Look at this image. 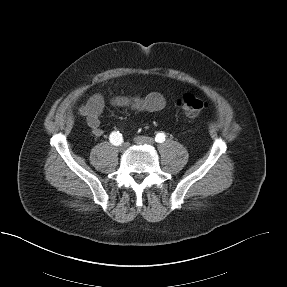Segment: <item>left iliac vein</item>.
Segmentation results:
<instances>
[{"label": "left iliac vein", "instance_id": "obj_1", "mask_svg": "<svg viewBox=\"0 0 287 287\" xmlns=\"http://www.w3.org/2000/svg\"><path fill=\"white\" fill-rule=\"evenodd\" d=\"M134 141L136 144L140 145H153L155 143L153 138L147 136H136Z\"/></svg>", "mask_w": 287, "mask_h": 287}]
</instances>
